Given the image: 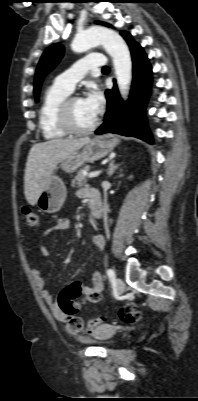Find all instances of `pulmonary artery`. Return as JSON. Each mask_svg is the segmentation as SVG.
Returning a JSON list of instances; mask_svg holds the SVG:
<instances>
[{"label": "pulmonary artery", "mask_w": 198, "mask_h": 401, "mask_svg": "<svg viewBox=\"0 0 198 401\" xmlns=\"http://www.w3.org/2000/svg\"><path fill=\"white\" fill-rule=\"evenodd\" d=\"M107 65L105 57L91 55L76 62L72 67L60 74L55 79V84L69 92H72L76 83L81 80L89 70Z\"/></svg>", "instance_id": "obj_1"}]
</instances>
